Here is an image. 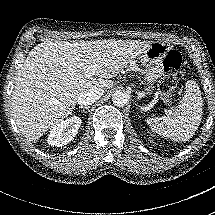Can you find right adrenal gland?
Returning <instances> with one entry per match:
<instances>
[{
  "mask_svg": "<svg viewBox=\"0 0 215 215\" xmlns=\"http://www.w3.org/2000/svg\"><path fill=\"white\" fill-rule=\"evenodd\" d=\"M80 109H84L85 110V113L87 114V111L91 108L90 106H87V107H81L79 106Z\"/></svg>",
  "mask_w": 215,
  "mask_h": 215,
  "instance_id": "obj_1",
  "label": "right adrenal gland"
}]
</instances>
